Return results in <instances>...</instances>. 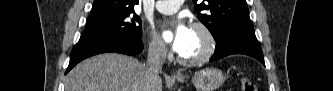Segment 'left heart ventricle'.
<instances>
[{
	"instance_id": "obj_1",
	"label": "left heart ventricle",
	"mask_w": 333,
	"mask_h": 91,
	"mask_svg": "<svg viewBox=\"0 0 333 91\" xmlns=\"http://www.w3.org/2000/svg\"><path fill=\"white\" fill-rule=\"evenodd\" d=\"M204 45L205 40L203 35L197 30L190 29L186 47L181 55L188 58L195 57L202 52Z\"/></svg>"
}]
</instances>
